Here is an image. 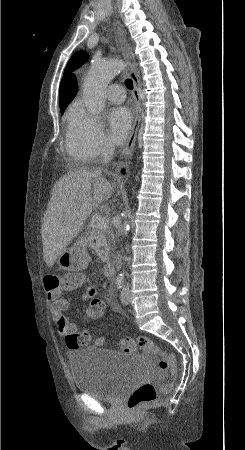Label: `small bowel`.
<instances>
[{"label": "small bowel", "instance_id": "small-bowel-1", "mask_svg": "<svg viewBox=\"0 0 245 450\" xmlns=\"http://www.w3.org/2000/svg\"><path fill=\"white\" fill-rule=\"evenodd\" d=\"M49 278L53 276H48ZM82 289L81 299L85 302L91 300L97 295V288L93 286H84L83 283L69 288V290H78ZM62 291L60 290H48L46 292L47 300L50 303V313L52 317V321L55 326L58 328V331L61 335L66 337V341L68 340V335L74 332L77 327L67 318V312L69 311L70 304L69 302L61 297ZM106 343V339L103 337L96 338L94 340V344L97 346H102ZM69 347L74 348V346L70 345L67 341Z\"/></svg>", "mask_w": 245, "mask_h": 450}]
</instances>
